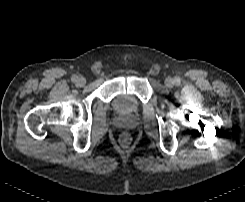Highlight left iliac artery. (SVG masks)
<instances>
[{"instance_id":"44dca946","label":"left iliac artery","mask_w":245,"mask_h":202,"mask_svg":"<svg viewBox=\"0 0 245 202\" xmlns=\"http://www.w3.org/2000/svg\"><path fill=\"white\" fill-rule=\"evenodd\" d=\"M175 82H176V83H180V78H179V77H176V78H175Z\"/></svg>"}]
</instances>
